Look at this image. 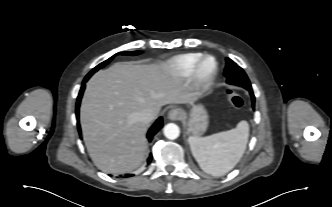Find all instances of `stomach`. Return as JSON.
I'll return each instance as SVG.
<instances>
[{
	"label": "stomach",
	"instance_id": "0dacf381",
	"mask_svg": "<svg viewBox=\"0 0 332 207\" xmlns=\"http://www.w3.org/2000/svg\"><path fill=\"white\" fill-rule=\"evenodd\" d=\"M184 124L189 135H202L208 126L207 111L202 105H193L189 115L184 116Z\"/></svg>",
	"mask_w": 332,
	"mask_h": 207
}]
</instances>
